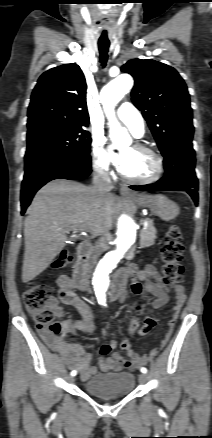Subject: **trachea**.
<instances>
[{
    "mask_svg": "<svg viewBox=\"0 0 212 438\" xmlns=\"http://www.w3.org/2000/svg\"><path fill=\"white\" fill-rule=\"evenodd\" d=\"M109 43H98V48L100 52V62L103 67L106 66L107 60H108V49H109Z\"/></svg>",
    "mask_w": 212,
    "mask_h": 438,
    "instance_id": "1",
    "label": "trachea"
}]
</instances>
